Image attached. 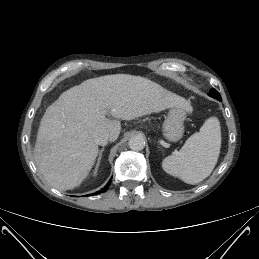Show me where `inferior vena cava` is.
I'll list each match as a JSON object with an SVG mask.
<instances>
[{"mask_svg": "<svg viewBox=\"0 0 259 259\" xmlns=\"http://www.w3.org/2000/svg\"><path fill=\"white\" fill-rule=\"evenodd\" d=\"M110 140V135L107 132L99 133L95 139L94 142L96 145L105 146L107 145L108 141Z\"/></svg>", "mask_w": 259, "mask_h": 259, "instance_id": "602c4592", "label": "inferior vena cava"}]
</instances>
